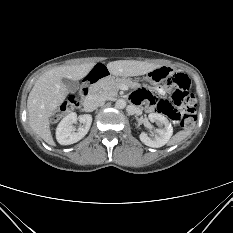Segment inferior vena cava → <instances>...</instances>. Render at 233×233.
I'll return each instance as SVG.
<instances>
[{"instance_id": "inferior-vena-cava-1", "label": "inferior vena cava", "mask_w": 233, "mask_h": 233, "mask_svg": "<svg viewBox=\"0 0 233 233\" xmlns=\"http://www.w3.org/2000/svg\"><path fill=\"white\" fill-rule=\"evenodd\" d=\"M106 97L102 94H90L84 100V107L90 110H94L103 103H105Z\"/></svg>"}]
</instances>
